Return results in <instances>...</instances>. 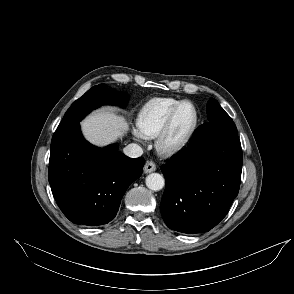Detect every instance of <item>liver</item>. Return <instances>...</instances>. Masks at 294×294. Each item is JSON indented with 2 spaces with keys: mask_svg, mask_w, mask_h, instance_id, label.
Here are the masks:
<instances>
[{
  "mask_svg": "<svg viewBox=\"0 0 294 294\" xmlns=\"http://www.w3.org/2000/svg\"><path fill=\"white\" fill-rule=\"evenodd\" d=\"M85 138L94 145L105 146L122 137L129 125L125 118L111 110H101L89 115L81 123Z\"/></svg>",
  "mask_w": 294,
  "mask_h": 294,
  "instance_id": "liver-1",
  "label": "liver"
}]
</instances>
